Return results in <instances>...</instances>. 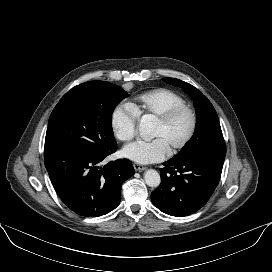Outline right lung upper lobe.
<instances>
[{
    "mask_svg": "<svg viewBox=\"0 0 272 272\" xmlns=\"http://www.w3.org/2000/svg\"><path fill=\"white\" fill-rule=\"evenodd\" d=\"M83 87H84V83L77 85L74 88H72L69 92H67L63 97H67L71 94L77 93V92L81 91L83 89Z\"/></svg>",
    "mask_w": 272,
    "mask_h": 272,
    "instance_id": "cb5924a9",
    "label": "right lung upper lobe"
}]
</instances>
